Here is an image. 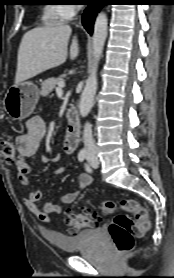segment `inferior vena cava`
<instances>
[{
  "instance_id": "obj_1",
  "label": "inferior vena cava",
  "mask_w": 174,
  "mask_h": 278,
  "mask_svg": "<svg viewBox=\"0 0 174 278\" xmlns=\"http://www.w3.org/2000/svg\"><path fill=\"white\" fill-rule=\"evenodd\" d=\"M79 8L80 6H78V9ZM83 142L88 155L96 154V146L94 144L93 135H92V126L89 123H86L84 126Z\"/></svg>"
}]
</instances>
